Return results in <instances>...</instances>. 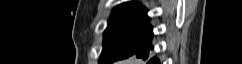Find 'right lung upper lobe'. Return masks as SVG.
I'll return each instance as SVG.
<instances>
[{"label":"right lung upper lobe","mask_w":242,"mask_h":64,"mask_svg":"<svg viewBox=\"0 0 242 64\" xmlns=\"http://www.w3.org/2000/svg\"><path fill=\"white\" fill-rule=\"evenodd\" d=\"M130 13H146V9L138 2H126L118 5L112 12V15L130 14Z\"/></svg>","instance_id":"1"}]
</instances>
